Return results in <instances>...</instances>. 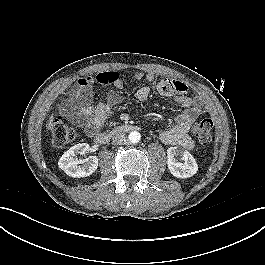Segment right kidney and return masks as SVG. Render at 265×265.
Wrapping results in <instances>:
<instances>
[{
	"mask_svg": "<svg viewBox=\"0 0 265 265\" xmlns=\"http://www.w3.org/2000/svg\"><path fill=\"white\" fill-rule=\"evenodd\" d=\"M90 150L88 143H79L67 150L58 162V166L67 175L71 177H87L94 173L98 167V158L90 156L87 159L81 160L76 155H83ZM82 164V165H81Z\"/></svg>",
	"mask_w": 265,
	"mask_h": 265,
	"instance_id": "1",
	"label": "right kidney"
}]
</instances>
